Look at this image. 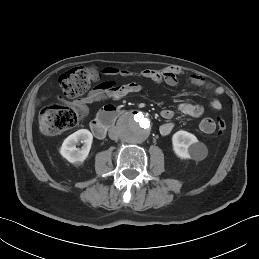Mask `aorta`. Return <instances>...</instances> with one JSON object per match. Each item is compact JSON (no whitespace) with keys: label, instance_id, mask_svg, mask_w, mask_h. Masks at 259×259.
<instances>
[{"label":"aorta","instance_id":"1","mask_svg":"<svg viewBox=\"0 0 259 259\" xmlns=\"http://www.w3.org/2000/svg\"><path fill=\"white\" fill-rule=\"evenodd\" d=\"M150 130V121L142 113H129L119 122L120 137L129 144L142 143L148 138Z\"/></svg>","mask_w":259,"mask_h":259}]
</instances>
